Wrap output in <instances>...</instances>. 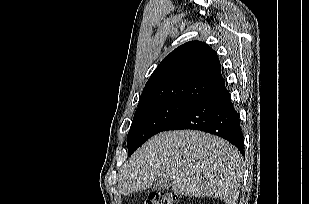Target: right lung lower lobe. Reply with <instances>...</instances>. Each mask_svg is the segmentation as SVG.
<instances>
[{
	"label": "right lung lower lobe",
	"instance_id": "1",
	"mask_svg": "<svg viewBox=\"0 0 309 204\" xmlns=\"http://www.w3.org/2000/svg\"><path fill=\"white\" fill-rule=\"evenodd\" d=\"M180 129L200 130L217 135L235 145L242 155L245 154L239 114L233 108L227 89L198 102L162 131Z\"/></svg>",
	"mask_w": 309,
	"mask_h": 204
}]
</instances>
